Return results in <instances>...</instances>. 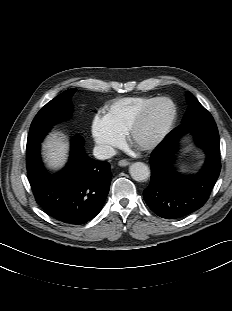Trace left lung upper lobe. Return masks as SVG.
I'll return each instance as SVG.
<instances>
[{"label": "left lung upper lobe", "instance_id": "left-lung-upper-lobe-1", "mask_svg": "<svg viewBox=\"0 0 232 311\" xmlns=\"http://www.w3.org/2000/svg\"><path fill=\"white\" fill-rule=\"evenodd\" d=\"M187 102L189 104L188 109L184 115L183 120L191 119L199 116H205L210 114L200 103L199 101L192 95L191 92L186 93Z\"/></svg>", "mask_w": 232, "mask_h": 311}]
</instances>
